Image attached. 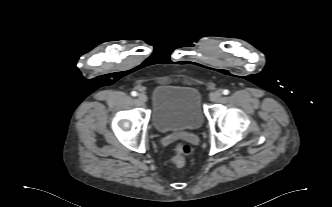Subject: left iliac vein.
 Listing matches in <instances>:
<instances>
[{
    "instance_id": "obj_1",
    "label": "left iliac vein",
    "mask_w": 332,
    "mask_h": 207,
    "mask_svg": "<svg viewBox=\"0 0 332 207\" xmlns=\"http://www.w3.org/2000/svg\"><path fill=\"white\" fill-rule=\"evenodd\" d=\"M222 98V93L220 91H215L210 95V100L212 102H219Z\"/></svg>"
}]
</instances>
